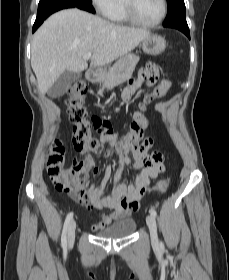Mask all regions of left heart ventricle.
<instances>
[{
    "mask_svg": "<svg viewBox=\"0 0 229 280\" xmlns=\"http://www.w3.org/2000/svg\"><path fill=\"white\" fill-rule=\"evenodd\" d=\"M135 15L143 21L157 19L162 11L161 0H132Z\"/></svg>",
    "mask_w": 229,
    "mask_h": 280,
    "instance_id": "obj_1",
    "label": "left heart ventricle"
}]
</instances>
